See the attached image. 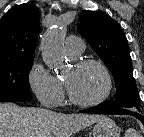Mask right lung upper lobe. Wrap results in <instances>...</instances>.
Instances as JSON below:
<instances>
[{"label":"right lung upper lobe","instance_id":"right-lung-upper-lobe-1","mask_svg":"<svg viewBox=\"0 0 144 137\" xmlns=\"http://www.w3.org/2000/svg\"><path fill=\"white\" fill-rule=\"evenodd\" d=\"M40 13L31 2L14 6L0 20V62L34 58Z\"/></svg>","mask_w":144,"mask_h":137}]
</instances>
